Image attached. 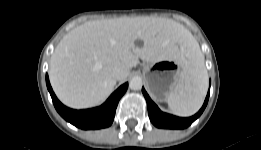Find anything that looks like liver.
Masks as SVG:
<instances>
[{
  "label": "liver",
  "instance_id": "obj_1",
  "mask_svg": "<svg viewBox=\"0 0 261 150\" xmlns=\"http://www.w3.org/2000/svg\"><path fill=\"white\" fill-rule=\"evenodd\" d=\"M137 38L143 41V47L135 46ZM196 45L192 34L172 19L123 17L88 21L72 29L56 46L51 56L50 82L68 107H92L112 93L117 81L112 76L115 66L130 71L139 59L147 63L177 59L185 67L187 50Z\"/></svg>",
  "mask_w": 261,
  "mask_h": 150
}]
</instances>
